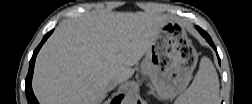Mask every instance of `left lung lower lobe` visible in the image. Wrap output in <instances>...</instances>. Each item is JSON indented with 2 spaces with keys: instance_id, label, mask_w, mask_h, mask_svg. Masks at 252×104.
Instances as JSON below:
<instances>
[{
  "instance_id": "1",
  "label": "left lung lower lobe",
  "mask_w": 252,
  "mask_h": 104,
  "mask_svg": "<svg viewBox=\"0 0 252 104\" xmlns=\"http://www.w3.org/2000/svg\"><path fill=\"white\" fill-rule=\"evenodd\" d=\"M197 30L200 32V34L207 40V42H209V44L216 50V47L214 45V43L212 42L211 37L205 32L203 31L201 28L197 27ZM218 56V53H217ZM218 61L220 63V58L218 56Z\"/></svg>"
}]
</instances>
